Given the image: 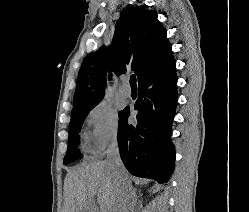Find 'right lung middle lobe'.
<instances>
[{
    "instance_id": "obj_1",
    "label": "right lung middle lobe",
    "mask_w": 249,
    "mask_h": 212,
    "mask_svg": "<svg viewBox=\"0 0 249 212\" xmlns=\"http://www.w3.org/2000/svg\"><path fill=\"white\" fill-rule=\"evenodd\" d=\"M97 104L85 108L72 110L71 121L69 124L68 148L63 160L64 164H69L80 158V152L77 148V144L79 141V132L82 127L83 121L89 114V111L92 110Z\"/></svg>"
}]
</instances>
